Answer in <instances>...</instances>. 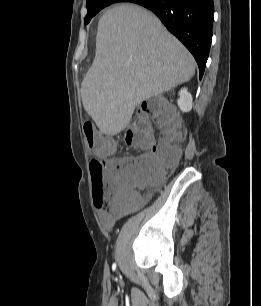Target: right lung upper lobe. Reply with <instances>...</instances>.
Instances as JSON below:
<instances>
[{"instance_id": "right-lung-upper-lobe-1", "label": "right lung upper lobe", "mask_w": 261, "mask_h": 306, "mask_svg": "<svg viewBox=\"0 0 261 306\" xmlns=\"http://www.w3.org/2000/svg\"><path fill=\"white\" fill-rule=\"evenodd\" d=\"M88 1V0H87ZM115 1H118V2H132L134 0H115Z\"/></svg>"}]
</instances>
